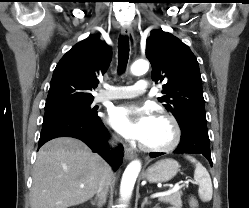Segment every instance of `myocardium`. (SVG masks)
I'll list each match as a JSON object with an SVG mask.
<instances>
[{
	"label": "myocardium",
	"instance_id": "f54148a6",
	"mask_svg": "<svg viewBox=\"0 0 249 208\" xmlns=\"http://www.w3.org/2000/svg\"><path fill=\"white\" fill-rule=\"evenodd\" d=\"M154 118L162 119L170 125L171 130H172V138L168 143L161 145V146H151L147 144H142L141 148L144 151L156 152V153L167 152V151L174 149L181 140V128H180V125L177 119L174 116L163 111L156 112L154 115Z\"/></svg>",
	"mask_w": 249,
	"mask_h": 208
}]
</instances>
